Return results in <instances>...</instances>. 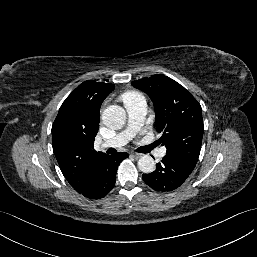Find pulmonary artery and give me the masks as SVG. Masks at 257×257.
<instances>
[{"instance_id":"e3ab8cb5","label":"pulmonary artery","mask_w":257,"mask_h":257,"mask_svg":"<svg viewBox=\"0 0 257 257\" xmlns=\"http://www.w3.org/2000/svg\"><path fill=\"white\" fill-rule=\"evenodd\" d=\"M125 108L128 114V125L125 130L118 133L114 137L101 143L102 148H119L127 144L135 132L140 128L144 117L147 113V105L144 99L134 100L125 104ZM165 147H161L156 156L161 158L165 155Z\"/></svg>"}]
</instances>
